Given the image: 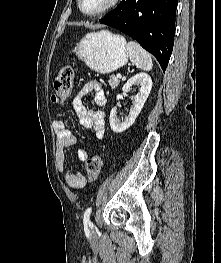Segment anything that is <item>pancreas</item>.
Masks as SVG:
<instances>
[{
  "label": "pancreas",
  "instance_id": "cf45deb5",
  "mask_svg": "<svg viewBox=\"0 0 221 263\" xmlns=\"http://www.w3.org/2000/svg\"><path fill=\"white\" fill-rule=\"evenodd\" d=\"M109 85L111 86L112 89H115L119 83H120V80L115 77L114 75L110 76V79H109Z\"/></svg>",
  "mask_w": 221,
  "mask_h": 263
}]
</instances>
